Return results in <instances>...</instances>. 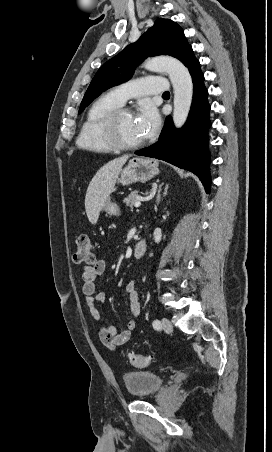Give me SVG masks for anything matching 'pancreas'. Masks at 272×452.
<instances>
[{"label":"pancreas","instance_id":"obj_1","mask_svg":"<svg viewBox=\"0 0 272 452\" xmlns=\"http://www.w3.org/2000/svg\"><path fill=\"white\" fill-rule=\"evenodd\" d=\"M138 191L131 192L126 198H124L123 202L126 207L132 208L135 202L137 201Z\"/></svg>","mask_w":272,"mask_h":452}]
</instances>
